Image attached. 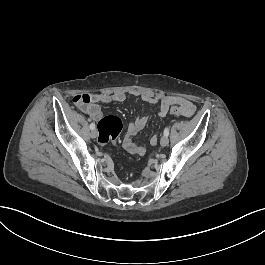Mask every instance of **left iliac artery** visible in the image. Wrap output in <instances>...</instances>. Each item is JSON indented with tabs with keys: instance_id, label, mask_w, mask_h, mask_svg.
Masks as SVG:
<instances>
[{
	"instance_id": "1",
	"label": "left iliac artery",
	"mask_w": 265,
	"mask_h": 265,
	"mask_svg": "<svg viewBox=\"0 0 265 265\" xmlns=\"http://www.w3.org/2000/svg\"><path fill=\"white\" fill-rule=\"evenodd\" d=\"M164 135H165V136H168V135H169V128H168V127H166V128L164 129Z\"/></svg>"
}]
</instances>
